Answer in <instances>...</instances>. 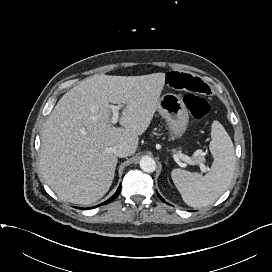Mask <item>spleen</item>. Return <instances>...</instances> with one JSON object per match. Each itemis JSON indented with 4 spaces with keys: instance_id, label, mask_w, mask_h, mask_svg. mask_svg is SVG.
Returning <instances> with one entry per match:
<instances>
[{
    "instance_id": "spleen-1",
    "label": "spleen",
    "mask_w": 272,
    "mask_h": 272,
    "mask_svg": "<svg viewBox=\"0 0 272 272\" xmlns=\"http://www.w3.org/2000/svg\"><path fill=\"white\" fill-rule=\"evenodd\" d=\"M210 152L214 158L211 170L204 176L182 169H173L172 180L184 202L201 208L214 203L229 187L235 171L232 140L218 121L211 126Z\"/></svg>"
}]
</instances>
